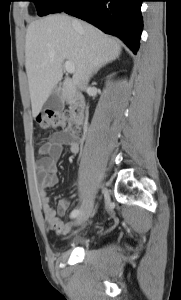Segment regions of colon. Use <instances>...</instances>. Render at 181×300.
<instances>
[{"mask_svg": "<svg viewBox=\"0 0 181 300\" xmlns=\"http://www.w3.org/2000/svg\"><path fill=\"white\" fill-rule=\"evenodd\" d=\"M37 124L42 129H62L66 133H76L69 115L53 109H48L41 113L37 117Z\"/></svg>", "mask_w": 181, "mask_h": 300, "instance_id": "5ec220e1", "label": "colon"}]
</instances>
